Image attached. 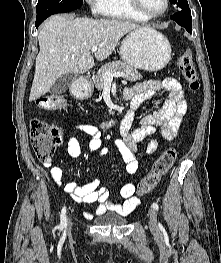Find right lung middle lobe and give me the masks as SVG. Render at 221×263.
Wrapping results in <instances>:
<instances>
[{
  "label": "right lung middle lobe",
  "mask_w": 221,
  "mask_h": 263,
  "mask_svg": "<svg viewBox=\"0 0 221 263\" xmlns=\"http://www.w3.org/2000/svg\"><path fill=\"white\" fill-rule=\"evenodd\" d=\"M83 0H39L36 11L37 18L55 13H62L78 9Z\"/></svg>",
  "instance_id": "1"
}]
</instances>
